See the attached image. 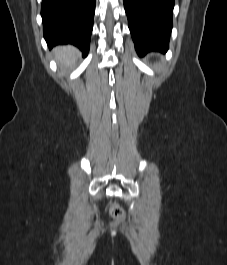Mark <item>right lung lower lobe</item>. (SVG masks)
Listing matches in <instances>:
<instances>
[{
    "mask_svg": "<svg viewBox=\"0 0 227 265\" xmlns=\"http://www.w3.org/2000/svg\"><path fill=\"white\" fill-rule=\"evenodd\" d=\"M96 0H42L44 38L50 48L73 44L87 55Z\"/></svg>",
    "mask_w": 227,
    "mask_h": 265,
    "instance_id": "1",
    "label": "right lung lower lobe"
}]
</instances>
